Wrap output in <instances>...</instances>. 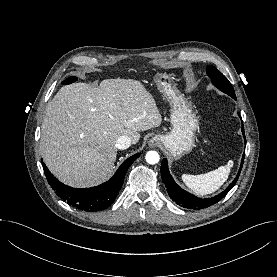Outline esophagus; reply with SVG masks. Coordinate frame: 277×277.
Listing matches in <instances>:
<instances>
[{"label":"esophagus","instance_id":"34e87169","mask_svg":"<svg viewBox=\"0 0 277 277\" xmlns=\"http://www.w3.org/2000/svg\"><path fill=\"white\" fill-rule=\"evenodd\" d=\"M149 145H150L151 147H154V146H156V145H157V142H156V140H154V139L150 140V143H149Z\"/></svg>","mask_w":277,"mask_h":277}]
</instances>
